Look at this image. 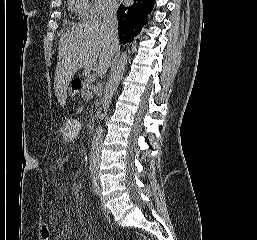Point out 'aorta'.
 I'll return each mask as SVG.
<instances>
[{
	"mask_svg": "<svg viewBox=\"0 0 257 240\" xmlns=\"http://www.w3.org/2000/svg\"><path fill=\"white\" fill-rule=\"evenodd\" d=\"M128 56L127 52H122L116 69L112 75L111 81L109 83V94L110 97L115 95L120 85L121 80L123 79V75L125 72L126 64H127ZM108 104H111V100L109 99ZM103 139V128L102 126H98L92 141V148L90 152L89 159V170L91 174L92 181H96L98 179V171L100 165V150Z\"/></svg>",
	"mask_w": 257,
	"mask_h": 240,
	"instance_id": "aorta-1",
	"label": "aorta"
}]
</instances>
